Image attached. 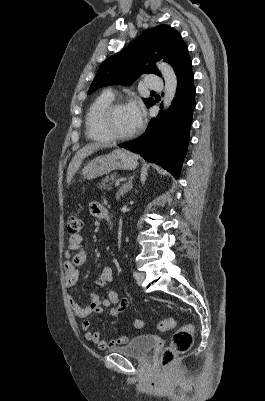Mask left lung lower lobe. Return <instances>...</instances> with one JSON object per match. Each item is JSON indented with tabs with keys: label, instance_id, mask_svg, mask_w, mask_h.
Listing matches in <instances>:
<instances>
[{
	"label": "left lung lower lobe",
	"instance_id": "left-lung-lower-lobe-1",
	"mask_svg": "<svg viewBox=\"0 0 265 401\" xmlns=\"http://www.w3.org/2000/svg\"><path fill=\"white\" fill-rule=\"evenodd\" d=\"M175 73L178 85L171 107L166 113L161 112L157 118H152L142 136L119 144V147L140 154L148 162L161 165L178 178L188 146L195 107L190 57L182 62Z\"/></svg>",
	"mask_w": 265,
	"mask_h": 401
}]
</instances>
